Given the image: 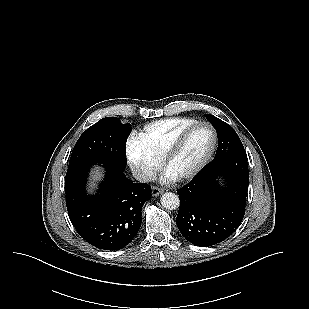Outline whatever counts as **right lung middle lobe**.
<instances>
[{"instance_id":"1","label":"right lung middle lobe","mask_w":309,"mask_h":309,"mask_svg":"<svg viewBox=\"0 0 309 309\" xmlns=\"http://www.w3.org/2000/svg\"><path fill=\"white\" fill-rule=\"evenodd\" d=\"M131 130L129 124H121L116 117L101 119L78 139L68 169L83 163H100L124 170L126 141Z\"/></svg>"}]
</instances>
